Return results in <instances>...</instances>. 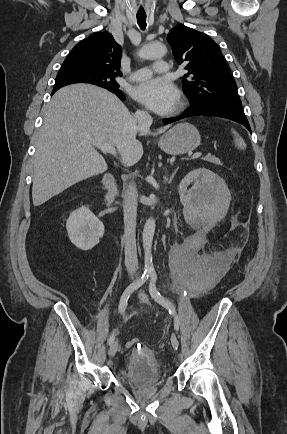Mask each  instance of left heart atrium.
<instances>
[{"instance_id": "39dd6f15", "label": "left heart atrium", "mask_w": 287, "mask_h": 434, "mask_svg": "<svg viewBox=\"0 0 287 434\" xmlns=\"http://www.w3.org/2000/svg\"><path fill=\"white\" fill-rule=\"evenodd\" d=\"M133 97L158 114L171 112L178 102L176 88L162 79H152L137 85L133 89Z\"/></svg>"}]
</instances>
